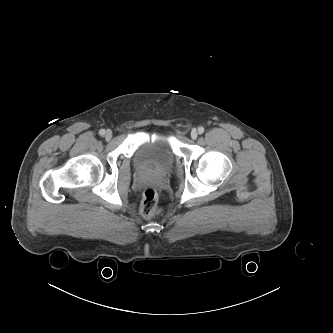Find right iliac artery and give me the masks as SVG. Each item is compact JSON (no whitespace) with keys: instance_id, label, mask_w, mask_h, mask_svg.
I'll return each mask as SVG.
<instances>
[{"instance_id":"82829eb1","label":"right iliac artery","mask_w":333,"mask_h":333,"mask_svg":"<svg viewBox=\"0 0 333 333\" xmlns=\"http://www.w3.org/2000/svg\"><path fill=\"white\" fill-rule=\"evenodd\" d=\"M99 134H100L101 136H104V135H105V130H104V129H101V130L99 131Z\"/></svg>"}]
</instances>
